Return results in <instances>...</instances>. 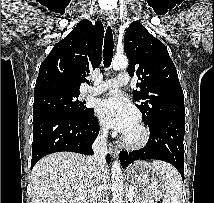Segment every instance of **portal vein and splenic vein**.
I'll return each mask as SVG.
<instances>
[{"label": "portal vein and splenic vein", "instance_id": "portal-vein-and-splenic-vein-1", "mask_svg": "<svg viewBox=\"0 0 214 203\" xmlns=\"http://www.w3.org/2000/svg\"><path fill=\"white\" fill-rule=\"evenodd\" d=\"M133 197H134V192L132 190H129L127 193V198L130 202L133 201Z\"/></svg>", "mask_w": 214, "mask_h": 203}]
</instances>
